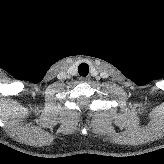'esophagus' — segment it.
<instances>
[{
    "label": "esophagus",
    "mask_w": 164,
    "mask_h": 164,
    "mask_svg": "<svg viewBox=\"0 0 164 164\" xmlns=\"http://www.w3.org/2000/svg\"><path fill=\"white\" fill-rule=\"evenodd\" d=\"M81 82H88L89 78L88 77H80Z\"/></svg>",
    "instance_id": "esophagus-1"
}]
</instances>
